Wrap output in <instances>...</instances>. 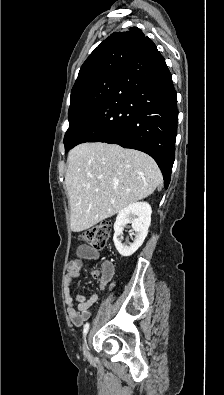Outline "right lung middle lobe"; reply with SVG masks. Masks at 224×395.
Segmentation results:
<instances>
[{
  "instance_id": "right-lung-middle-lobe-1",
  "label": "right lung middle lobe",
  "mask_w": 224,
  "mask_h": 395,
  "mask_svg": "<svg viewBox=\"0 0 224 395\" xmlns=\"http://www.w3.org/2000/svg\"><path fill=\"white\" fill-rule=\"evenodd\" d=\"M120 76L121 73L105 75L71 92L69 129L64 137L65 152L73 147L88 123L102 108Z\"/></svg>"
}]
</instances>
